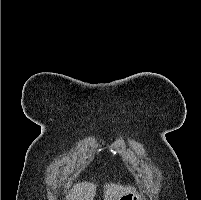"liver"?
I'll list each match as a JSON object with an SVG mask.
<instances>
[{
    "mask_svg": "<svg viewBox=\"0 0 201 200\" xmlns=\"http://www.w3.org/2000/svg\"><path fill=\"white\" fill-rule=\"evenodd\" d=\"M135 191L130 185L123 186L120 183H106L104 185V200H118L128 193ZM96 194L94 183L82 182L74 185L73 189L67 196V200H93Z\"/></svg>",
    "mask_w": 201,
    "mask_h": 200,
    "instance_id": "obj_1",
    "label": "liver"
}]
</instances>
